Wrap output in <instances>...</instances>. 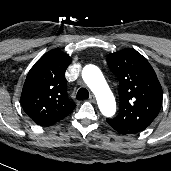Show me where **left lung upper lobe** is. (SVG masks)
Returning a JSON list of instances; mask_svg holds the SVG:
<instances>
[{"label": "left lung upper lobe", "mask_w": 171, "mask_h": 171, "mask_svg": "<svg viewBox=\"0 0 171 171\" xmlns=\"http://www.w3.org/2000/svg\"><path fill=\"white\" fill-rule=\"evenodd\" d=\"M108 66L120 81V111L111 125H150L162 107L163 93L155 71L139 52L124 49L111 53Z\"/></svg>", "instance_id": "1"}]
</instances>
